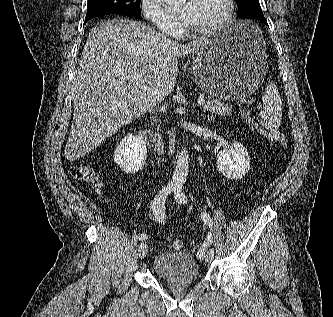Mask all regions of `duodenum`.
<instances>
[{
	"instance_id": "410a0bca",
	"label": "duodenum",
	"mask_w": 333,
	"mask_h": 317,
	"mask_svg": "<svg viewBox=\"0 0 333 317\" xmlns=\"http://www.w3.org/2000/svg\"><path fill=\"white\" fill-rule=\"evenodd\" d=\"M139 135L147 143L149 148L157 151L158 153H164L165 141L160 135L152 132H140Z\"/></svg>"
}]
</instances>
